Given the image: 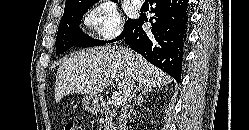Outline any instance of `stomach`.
I'll use <instances>...</instances> for the list:
<instances>
[{
	"label": "stomach",
	"mask_w": 249,
	"mask_h": 130,
	"mask_svg": "<svg viewBox=\"0 0 249 130\" xmlns=\"http://www.w3.org/2000/svg\"><path fill=\"white\" fill-rule=\"evenodd\" d=\"M83 109L96 113L99 110V98L95 95H87L82 100Z\"/></svg>",
	"instance_id": "1"
}]
</instances>
